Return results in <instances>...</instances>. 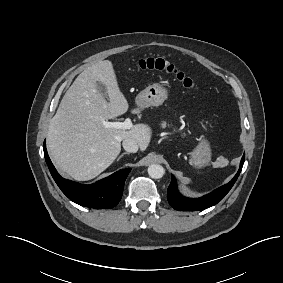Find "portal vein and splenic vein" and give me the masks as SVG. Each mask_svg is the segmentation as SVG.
Wrapping results in <instances>:
<instances>
[{"label":"portal vein and splenic vein","instance_id":"1","mask_svg":"<svg viewBox=\"0 0 283 283\" xmlns=\"http://www.w3.org/2000/svg\"><path fill=\"white\" fill-rule=\"evenodd\" d=\"M102 123L105 126V128L130 130L133 127V124L130 118L125 119L124 122H108V121L103 120Z\"/></svg>","mask_w":283,"mask_h":283}]
</instances>
